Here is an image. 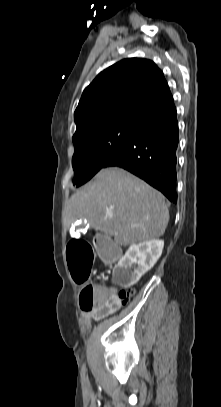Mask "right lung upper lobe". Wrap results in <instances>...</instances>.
I'll list each match as a JSON object with an SVG mask.
<instances>
[{
	"label": "right lung upper lobe",
	"mask_w": 221,
	"mask_h": 407,
	"mask_svg": "<svg viewBox=\"0 0 221 407\" xmlns=\"http://www.w3.org/2000/svg\"><path fill=\"white\" fill-rule=\"evenodd\" d=\"M172 99L154 62L128 58L102 71L84 90L74 113L73 142L108 126L138 124Z\"/></svg>",
	"instance_id": "1"
}]
</instances>
